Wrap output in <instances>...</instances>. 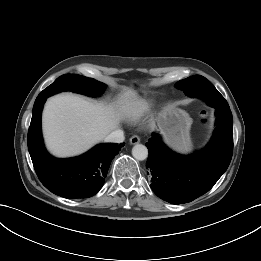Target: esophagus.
Instances as JSON below:
<instances>
[{
	"label": "esophagus",
	"instance_id": "1",
	"mask_svg": "<svg viewBox=\"0 0 261 261\" xmlns=\"http://www.w3.org/2000/svg\"><path fill=\"white\" fill-rule=\"evenodd\" d=\"M129 141L132 145L138 144L140 142V137L137 135H133Z\"/></svg>",
	"mask_w": 261,
	"mask_h": 261
}]
</instances>
